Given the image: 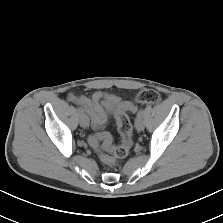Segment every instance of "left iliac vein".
Wrapping results in <instances>:
<instances>
[{
  "instance_id": "1",
  "label": "left iliac vein",
  "mask_w": 223,
  "mask_h": 223,
  "mask_svg": "<svg viewBox=\"0 0 223 223\" xmlns=\"http://www.w3.org/2000/svg\"><path fill=\"white\" fill-rule=\"evenodd\" d=\"M135 128L138 131H142L144 129V122H143V119L141 117H137L135 119Z\"/></svg>"
}]
</instances>
